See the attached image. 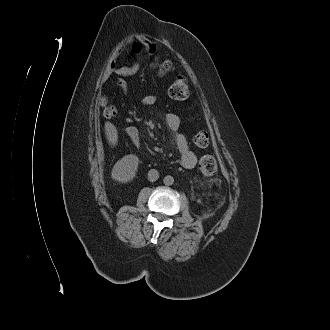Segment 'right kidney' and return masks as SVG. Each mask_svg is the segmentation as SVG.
<instances>
[{"mask_svg":"<svg viewBox=\"0 0 330 330\" xmlns=\"http://www.w3.org/2000/svg\"><path fill=\"white\" fill-rule=\"evenodd\" d=\"M138 164L137 156L132 154L124 156L113 166L112 179L120 183L131 181L136 176Z\"/></svg>","mask_w":330,"mask_h":330,"instance_id":"obj_1","label":"right kidney"}]
</instances>
